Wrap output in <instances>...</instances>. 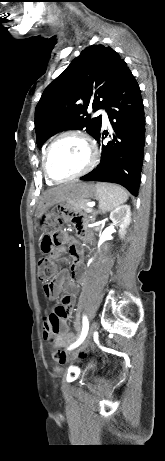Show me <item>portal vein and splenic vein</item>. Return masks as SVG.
Masks as SVG:
<instances>
[{"label":"portal vein and splenic vein","instance_id":"18ae733b","mask_svg":"<svg viewBox=\"0 0 165 461\" xmlns=\"http://www.w3.org/2000/svg\"><path fill=\"white\" fill-rule=\"evenodd\" d=\"M87 206H88L89 210L91 211L92 208L95 206V203L94 202H89V203H87Z\"/></svg>","mask_w":165,"mask_h":461}]
</instances>
